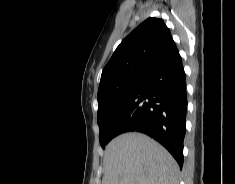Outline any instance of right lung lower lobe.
Segmentation results:
<instances>
[{"mask_svg":"<svg viewBox=\"0 0 235 184\" xmlns=\"http://www.w3.org/2000/svg\"><path fill=\"white\" fill-rule=\"evenodd\" d=\"M186 75L179 51L152 69L133 93L113 132H142L162 144L183 166L186 133Z\"/></svg>","mask_w":235,"mask_h":184,"instance_id":"98d812e1","label":"right lung lower lobe"}]
</instances>
